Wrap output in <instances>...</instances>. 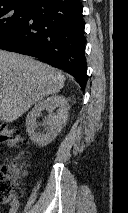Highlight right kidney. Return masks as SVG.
Here are the masks:
<instances>
[{
	"label": "right kidney",
	"mask_w": 128,
	"mask_h": 213,
	"mask_svg": "<svg viewBox=\"0 0 128 213\" xmlns=\"http://www.w3.org/2000/svg\"><path fill=\"white\" fill-rule=\"evenodd\" d=\"M55 109L57 113H53ZM69 109L67 99L61 95H53L36 103L26 117V131L31 141L40 147L52 142L65 125ZM44 110L48 111L49 115L43 122L46 132L40 133L36 131L39 126L37 118Z\"/></svg>",
	"instance_id": "ca27d5eb"
}]
</instances>
